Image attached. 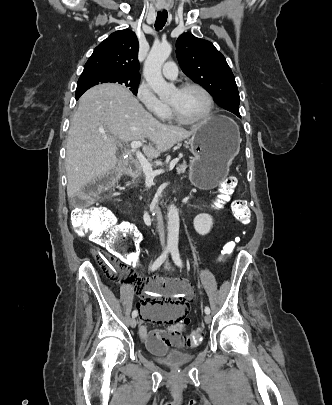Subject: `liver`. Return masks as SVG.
<instances>
[{"instance_id": "liver-1", "label": "liver", "mask_w": 332, "mask_h": 405, "mask_svg": "<svg viewBox=\"0 0 332 405\" xmlns=\"http://www.w3.org/2000/svg\"><path fill=\"white\" fill-rule=\"evenodd\" d=\"M196 130L197 125L186 130L160 123L119 85L102 84L89 89L80 97L68 131V197L116 166L119 141L148 139L151 143L143 146V152L155 159Z\"/></svg>"}]
</instances>
